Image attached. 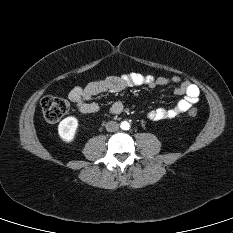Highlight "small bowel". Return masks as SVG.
I'll list each match as a JSON object with an SVG mask.
<instances>
[{"label": "small bowel", "instance_id": "c3829d8e", "mask_svg": "<svg viewBox=\"0 0 233 233\" xmlns=\"http://www.w3.org/2000/svg\"><path fill=\"white\" fill-rule=\"evenodd\" d=\"M175 84V93L183 95V99L171 108H157L148 113L153 121L168 120L187 112L199 101L200 90L197 85L187 80H181L178 76L154 77L141 73H129L122 76H110L100 81H93L84 87H75L69 92V100L74 103L80 112L85 114L96 113L100 110L97 103L91 99L93 96L104 92H119L132 86H147L155 88ZM123 111V104L115 102L111 105L109 113L118 115Z\"/></svg>", "mask_w": 233, "mask_h": 233}]
</instances>
